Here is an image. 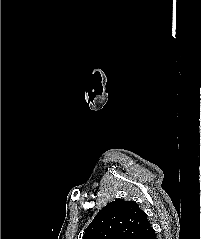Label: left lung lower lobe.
I'll list each match as a JSON object with an SVG mask.
<instances>
[{
	"instance_id": "obj_1",
	"label": "left lung lower lobe",
	"mask_w": 201,
	"mask_h": 239,
	"mask_svg": "<svg viewBox=\"0 0 201 239\" xmlns=\"http://www.w3.org/2000/svg\"><path fill=\"white\" fill-rule=\"evenodd\" d=\"M144 239H157L154 229L151 227Z\"/></svg>"
}]
</instances>
